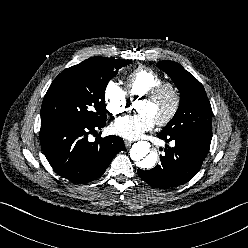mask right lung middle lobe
<instances>
[{"label":"right lung middle lobe","mask_w":248,"mask_h":248,"mask_svg":"<svg viewBox=\"0 0 248 248\" xmlns=\"http://www.w3.org/2000/svg\"><path fill=\"white\" fill-rule=\"evenodd\" d=\"M130 60L99 57L62 71L51 83L42 103L41 120L106 121L105 89Z\"/></svg>","instance_id":"obj_1"}]
</instances>
